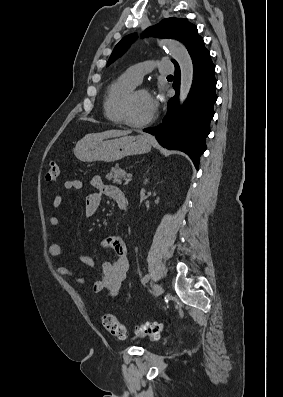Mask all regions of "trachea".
Returning a JSON list of instances; mask_svg holds the SVG:
<instances>
[{"instance_id":"3493384b","label":"trachea","mask_w":283,"mask_h":397,"mask_svg":"<svg viewBox=\"0 0 283 397\" xmlns=\"http://www.w3.org/2000/svg\"><path fill=\"white\" fill-rule=\"evenodd\" d=\"M168 77H173L172 75H168Z\"/></svg>"}]
</instances>
